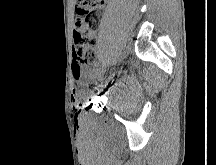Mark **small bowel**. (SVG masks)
Wrapping results in <instances>:
<instances>
[{"instance_id": "small-bowel-1", "label": "small bowel", "mask_w": 216, "mask_h": 165, "mask_svg": "<svg viewBox=\"0 0 216 165\" xmlns=\"http://www.w3.org/2000/svg\"><path fill=\"white\" fill-rule=\"evenodd\" d=\"M72 73L75 80H80L84 75V70L75 60L72 65Z\"/></svg>"}]
</instances>
